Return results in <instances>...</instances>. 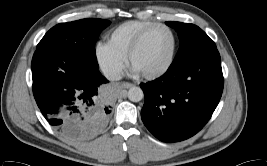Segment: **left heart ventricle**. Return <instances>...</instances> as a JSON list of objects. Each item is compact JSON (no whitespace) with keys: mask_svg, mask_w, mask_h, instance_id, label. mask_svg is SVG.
<instances>
[{"mask_svg":"<svg viewBox=\"0 0 267 166\" xmlns=\"http://www.w3.org/2000/svg\"><path fill=\"white\" fill-rule=\"evenodd\" d=\"M171 50V34L165 29L155 30L134 55L132 66L141 73L155 72L168 62Z\"/></svg>","mask_w":267,"mask_h":166,"instance_id":"obj_1","label":"left heart ventricle"}]
</instances>
